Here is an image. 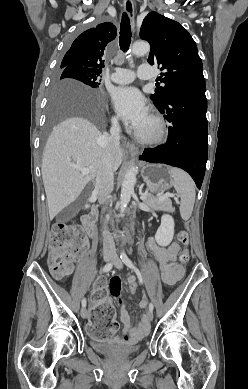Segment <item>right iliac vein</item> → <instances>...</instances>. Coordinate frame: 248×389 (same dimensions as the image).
Instances as JSON below:
<instances>
[{
    "mask_svg": "<svg viewBox=\"0 0 248 389\" xmlns=\"http://www.w3.org/2000/svg\"><path fill=\"white\" fill-rule=\"evenodd\" d=\"M103 259H104V261L108 262L112 259V256L111 255H104ZM81 316L84 319L88 318V316H89V312L87 311V309L85 307H83L81 309Z\"/></svg>",
    "mask_w": 248,
    "mask_h": 389,
    "instance_id": "1",
    "label": "right iliac vein"
}]
</instances>
